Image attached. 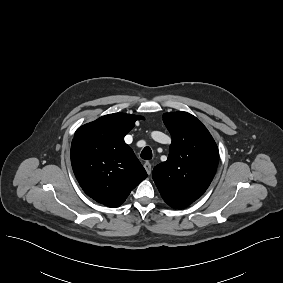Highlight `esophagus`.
<instances>
[{"label": "esophagus", "mask_w": 283, "mask_h": 283, "mask_svg": "<svg viewBox=\"0 0 283 283\" xmlns=\"http://www.w3.org/2000/svg\"><path fill=\"white\" fill-rule=\"evenodd\" d=\"M144 168H145L147 174L150 175V174H151V170H152V165H151V163H150V162H145V163H144Z\"/></svg>", "instance_id": "1"}]
</instances>
